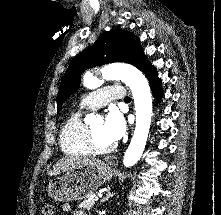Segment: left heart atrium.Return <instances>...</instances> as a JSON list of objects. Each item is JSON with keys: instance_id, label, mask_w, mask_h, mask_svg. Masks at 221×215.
Masks as SVG:
<instances>
[{"instance_id": "39dd6f15", "label": "left heart atrium", "mask_w": 221, "mask_h": 215, "mask_svg": "<svg viewBox=\"0 0 221 215\" xmlns=\"http://www.w3.org/2000/svg\"><path fill=\"white\" fill-rule=\"evenodd\" d=\"M126 125L122 116L111 111L103 122V135L111 143L118 141L125 133Z\"/></svg>"}]
</instances>
